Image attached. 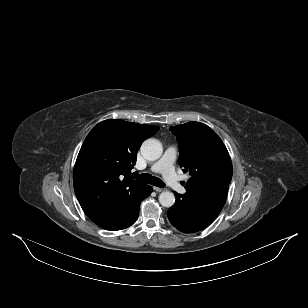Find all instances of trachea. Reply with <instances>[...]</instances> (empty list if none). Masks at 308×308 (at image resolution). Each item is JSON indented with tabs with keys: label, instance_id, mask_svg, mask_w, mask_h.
Here are the masks:
<instances>
[{
	"label": "trachea",
	"instance_id": "3493384b",
	"mask_svg": "<svg viewBox=\"0 0 308 308\" xmlns=\"http://www.w3.org/2000/svg\"><path fill=\"white\" fill-rule=\"evenodd\" d=\"M137 180L141 183H145V184H152L154 186H157V187H164L165 184L164 182L157 178V177H153L152 175L148 174V173H144V174H141L137 177Z\"/></svg>",
	"mask_w": 308,
	"mask_h": 308
}]
</instances>
